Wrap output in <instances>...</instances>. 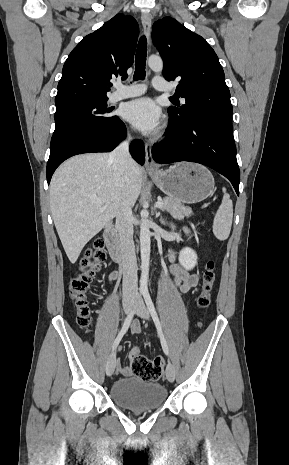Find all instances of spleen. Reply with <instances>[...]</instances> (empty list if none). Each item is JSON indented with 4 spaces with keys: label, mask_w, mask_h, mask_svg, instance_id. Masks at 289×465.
<instances>
[{
    "label": "spleen",
    "mask_w": 289,
    "mask_h": 465,
    "mask_svg": "<svg viewBox=\"0 0 289 465\" xmlns=\"http://www.w3.org/2000/svg\"><path fill=\"white\" fill-rule=\"evenodd\" d=\"M223 199L219 206L213 222V233L215 237L221 241L229 237L232 219H233V204L230 195L223 188Z\"/></svg>",
    "instance_id": "1"
}]
</instances>
